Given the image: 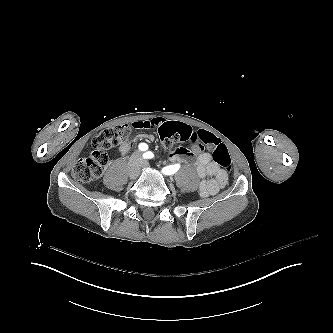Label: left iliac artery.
<instances>
[{"label": "left iliac artery", "mask_w": 333, "mask_h": 333, "mask_svg": "<svg viewBox=\"0 0 333 333\" xmlns=\"http://www.w3.org/2000/svg\"><path fill=\"white\" fill-rule=\"evenodd\" d=\"M144 156H146V158H153L154 154L152 152H147L144 154ZM179 167H180L179 164L170 165V166L164 167L162 169V172L166 175H172L179 169Z\"/></svg>", "instance_id": "left-iliac-artery-1"}]
</instances>
